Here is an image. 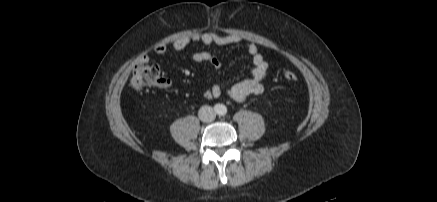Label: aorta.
Here are the masks:
<instances>
[{
	"label": "aorta",
	"instance_id": "aorta-1",
	"mask_svg": "<svg viewBox=\"0 0 437 202\" xmlns=\"http://www.w3.org/2000/svg\"><path fill=\"white\" fill-rule=\"evenodd\" d=\"M226 112H227L226 106L225 105H219L217 113L221 114V115H224V114H226Z\"/></svg>",
	"mask_w": 437,
	"mask_h": 202
}]
</instances>
